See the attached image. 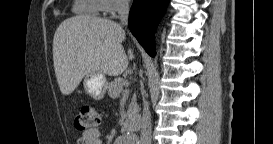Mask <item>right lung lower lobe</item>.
Returning <instances> with one entry per match:
<instances>
[{
    "label": "right lung lower lobe",
    "mask_w": 273,
    "mask_h": 144,
    "mask_svg": "<svg viewBox=\"0 0 273 144\" xmlns=\"http://www.w3.org/2000/svg\"><path fill=\"white\" fill-rule=\"evenodd\" d=\"M169 0H134L129 13V29L146 52L154 57L156 26L164 14Z\"/></svg>",
    "instance_id": "98d812e1"
}]
</instances>
